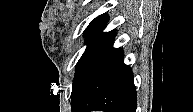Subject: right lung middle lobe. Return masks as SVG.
Instances as JSON below:
<instances>
[{"label":"right lung middle lobe","mask_w":193,"mask_h":112,"mask_svg":"<svg viewBox=\"0 0 193 112\" xmlns=\"http://www.w3.org/2000/svg\"><path fill=\"white\" fill-rule=\"evenodd\" d=\"M84 34L86 37L85 42L88 46L76 65L73 86L93 58L116 36L114 32L102 33L101 30L94 29H87Z\"/></svg>","instance_id":"right-lung-middle-lobe-1"}]
</instances>
